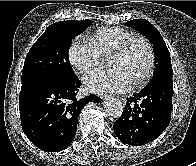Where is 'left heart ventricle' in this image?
<instances>
[{"label": "left heart ventricle", "mask_w": 196, "mask_h": 166, "mask_svg": "<svg viewBox=\"0 0 196 166\" xmlns=\"http://www.w3.org/2000/svg\"><path fill=\"white\" fill-rule=\"evenodd\" d=\"M148 63L149 53L146 46L142 42H136L127 55H112L109 65L122 69L135 82L145 72Z\"/></svg>", "instance_id": "1"}]
</instances>
